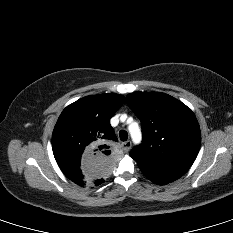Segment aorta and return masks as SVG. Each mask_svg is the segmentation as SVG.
I'll return each instance as SVG.
<instances>
[{"label": "aorta", "mask_w": 233, "mask_h": 233, "mask_svg": "<svg viewBox=\"0 0 233 233\" xmlns=\"http://www.w3.org/2000/svg\"><path fill=\"white\" fill-rule=\"evenodd\" d=\"M129 131L131 133V137L135 143H139L141 140V132L138 128L137 124H132L129 126Z\"/></svg>", "instance_id": "762f6f07"}]
</instances>
